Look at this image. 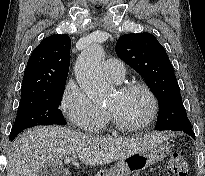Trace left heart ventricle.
<instances>
[{"label": "left heart ventricle", "mask_w": 205, "mask_h": 176, "mask_svg": "<svg viewBox=\"0 0 205 176\" xmlns=\"http://www.w3.org/2000/svg\"><path fill=\"white\" fill-rule=\"evenodd\" d=\"M127 124H138L145 120L151 110L148 97L142 91L127 94L116 93L106 106Z\"/></svg>", "instance_id": "1"}]
</instances>
